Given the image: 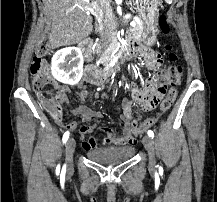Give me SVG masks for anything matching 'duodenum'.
<instances>
[{
    "label": "duodenum",
    "instance_id": "1",
    "mask_svg": "<svg viewBox=\"0 0 217 202\" xmlns=\"http://www.w3.org/2000/svg\"><path fill=\"white\" fill-rule=\"evenodd\" d=\"M91 45L90 43H86L83 45V51L86 56L89 58L90 56ZM138 53V47L135 42L132 43L130 48V59H134ZM112 70L101 71L96 68L93 64L89 63L84 70L83 80L87 83L93 85H101L106 82L113 75Z\"/></svg>",
    "mask_w": 217,
    "mask_h": 202
}]
</instances>
